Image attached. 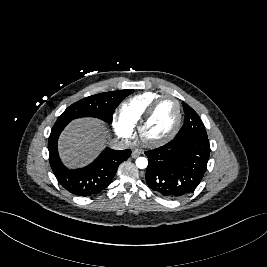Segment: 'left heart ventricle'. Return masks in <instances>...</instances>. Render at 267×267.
<instances>
[{
    "instance_id": "1",
    "label": "left heart ventricle",
    "mask_w": 267,
    "mask_h": 267,
    "mask_svg": "<svg viewBox=\"0 0 267 267\" xmlns=\"http://www.w3.org/2000/svg\"><path fill=\"white\" fill-rule=\"evenodd\" d=\"M177 120V106L171 99L163 100L156 108L147 123L144 136L148 139H159L166 136Z\"/></svg>"
}]
</instances>
